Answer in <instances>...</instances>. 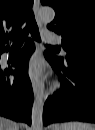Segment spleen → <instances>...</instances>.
Listing matches in <instances>:
<instances>
[{"mask_svg": "<svg viewBox=\"0 0 95 130\" xmlns=\"http://www.w3.org/2000/svg\"><path fill=\"white\" fill-rule=\"evenodd\" d=\"M61 130H95V127L89 123L70 121L62 124Z\"/></svg>", "mask_w": 95, "mask_h": 130, "instance_id": "1", "label": "spleen"}]
</instances>
